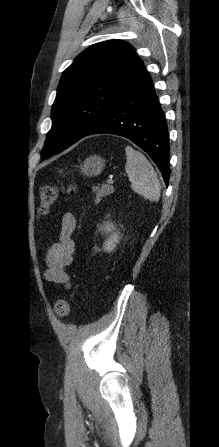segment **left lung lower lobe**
<instances>
[{"label": "left lung lower lobe", "instance_id": "obj_1", "mask_svg": "<svg viewBox=\"0 0 219 447\" xmlns=\"http://www.w3.org/2000/svg\"><path fill=\"white\" fill-rule=\"evenodd\" d=\"M93 134H114L131 140L152 158L168 185L167 124L144 65L131 86L86 135Z\"/></svg>", "mask_w": 219, "mask_h": 447}]
</instances>
